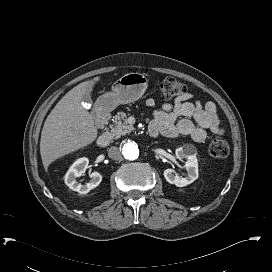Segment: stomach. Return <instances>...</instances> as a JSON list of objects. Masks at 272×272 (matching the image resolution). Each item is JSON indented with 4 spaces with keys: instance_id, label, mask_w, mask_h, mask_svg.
Here are the masks:
<instances>
[{
    "instance_id": "obj_1",
    "label": "stomach",
    "mask_w": 272,
    "mask_h": 272,
    "mask_svg": "<svg viewBox=\"0 0 272 272\" xmlns=\"http://www.w3.org/2000/svg\"><path fill=\"white\" fill-rule=\"evenodd\" d=\"M148 86L145 74L128 73L118 79L112 86V91L104 94L100 101L111 111L120 104H128L138 100Z\"/></svg>"
}]
</instances>
